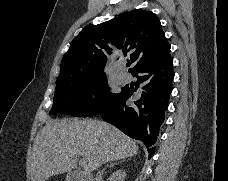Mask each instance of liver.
<instances>
[{"mask_svg":"<svg viewBox=\"0 0 228 181\" xmlns=\"http://www.w3.org/2000/svg\"><path fill=\"white\" fill-rule=\"evenodd\" d=\"M136 141L104 121H47L33 145L31 181L70 173L78 159L84 175H92L103 163L121 161L137 155Z\"/></svg>","mask_w":228,"mask_h":181,"instance_id":"obj_1","label":"liver"}]
</instances>
